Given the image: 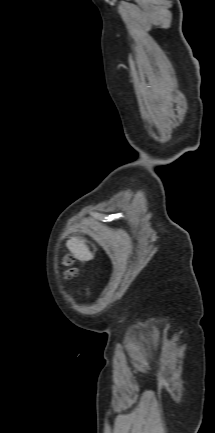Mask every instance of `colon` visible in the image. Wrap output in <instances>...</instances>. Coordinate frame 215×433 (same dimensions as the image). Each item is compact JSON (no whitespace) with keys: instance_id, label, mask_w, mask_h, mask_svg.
<instances>
[{"instance_id":"1","label":"colon","mask_w":215,"mask_h":433,"mask_svg":"<svg viewBox=\"0 0 215 433\" xmlns=\"http://www.w3.org/2000/svg\"><path fill=\"white\" fill-rule=\"evenodd\" d=\"M64 265L66 266L65 275L67 277H72L77 273V269L74 267V260L72 256H66L63 260Z\"/></svg>"}]
</instances>
